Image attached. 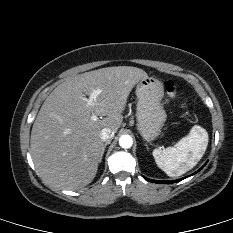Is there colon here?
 I'll use <instances>...</instances> for the list:
<instances>
[{
    "instance_id": "obj_1",
    "label": "colon",
    "mask_w": 233,
    "mask_h": 233,
    "mask_svg": "<svg viewBox=\"0 0 233 233\" xmlns=\"http://www.w3.org/2000/svg\"><path fill=\"white\" fill-rule=\"evenodd\" d=\"M165 89H166V93L167 95L172 98L175 99L178 95V85L172 81V80H168L165 83Z\"/></svg>"
}]
</instances>
